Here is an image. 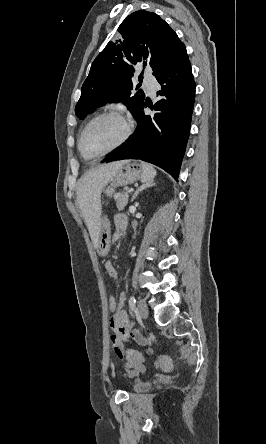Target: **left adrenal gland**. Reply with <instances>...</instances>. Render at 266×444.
<instances>
[{
	"instance_id": "a2214340",
	"label": "left adrenal gland",
	"mask_w": 266,
	"mask_h": 444,
	"mask_svg": "<svg viewBox=\"0 0 266 444\" xmlns=\"http://www.w3.org/2000/svg\"><path fill=\"white\" fill-rule=\"evenodd\" d=\"M154 185H155V183L153 182V180H150V181H148V182L142 184V185H141L140 187H138V188L136 189V191L134 192V194H133V196H132V199H131V202H133V201L136 199V197L138 196V194H139L141 191H143V190H145V189H147V188H149V187H153Z\"/></svg>"
}]
</instances>
